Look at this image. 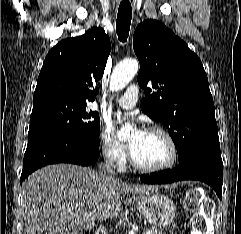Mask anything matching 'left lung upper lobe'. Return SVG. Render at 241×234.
<instances>
[{
    "mask_svg": "<svg viewBox=\"0 0 241 234\" xmlns=\"http://www.w3.org/2000/svg\"><path fill=\"white\" fill-rule=\"evenodd\" d=\"M133 48L140 62L137 80L147 95L141 109L166 127L179 163L198 153L220 154L213 98L198 56L152 19L137 26ZM148 85L156 92L150 94Z\"/></svg>",
    "mask_w": 241,
    "mask_h": 234,
    "instance_id": "obj_1",
    "label": "left lung upper lobe"
}]
</instances>
